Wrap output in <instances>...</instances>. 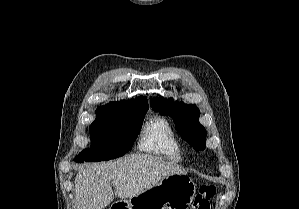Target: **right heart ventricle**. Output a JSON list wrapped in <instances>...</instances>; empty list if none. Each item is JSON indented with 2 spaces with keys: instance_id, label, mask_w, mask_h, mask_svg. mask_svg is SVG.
Instances as JSON below:
<instances>
[{
  "instance_id": "e07e8e85",
  "label": "right heart ventricle",
  "mask_w": 299,
  "mask_h": 209,
  "mask_svg": "<svg viewBox=\"0 0 299 209\" xmlns=\"http://www.w3.org/2000/svg\"><path fill=\"white\" fill-rule=\"evenodd\" d=\"M139 147L163 158L180 163L183 160V148L170 125L161 118L150 120L143 128Z\"/></svg>"
}]
</instances>
